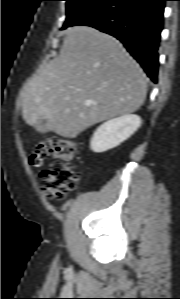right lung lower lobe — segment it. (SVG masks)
Here are the masks:
<instances>
[{"label": "right lung lower lobe", "mask_w": 180, "mask_h": 299, "mask_svg": "<svg viewBox=\"0 0 180 299\" xmlns=\"http://www.w3.org/2000/svg\"><path fill=\"white\" fill-rule=\"evenodd\" d=\"M165 1L103 0L70 26H91L116 37L156 83Z\"/></svg>", "instance_id": "obj_1"}]
</instances>
